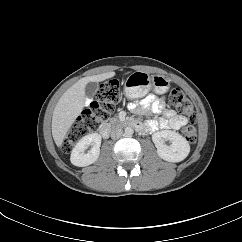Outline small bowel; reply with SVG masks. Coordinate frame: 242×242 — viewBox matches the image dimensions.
I'll use <instances>...</instances> for the list:
<instances>
[{"label": "small bowel", "mask_w": 242, "mask_h": 242, "mask_svg": "<svg viewBox=\"0 0 242 242\" xmlns=\"http://www.w3.org/2000/svg\"><path fill=\"white\" fill-rule=\"evenodd\" d=\"M129 108L133 111L162 114L164 118L151 120L147 123H136V127L142 131H154L158 129L178 130L187 119L177 114L173 109L166 108L164 101L150 94L141 100L139 104L131 103Z\"/></svg>", "instance_id": "small-bowel-1"}]
</instances>
